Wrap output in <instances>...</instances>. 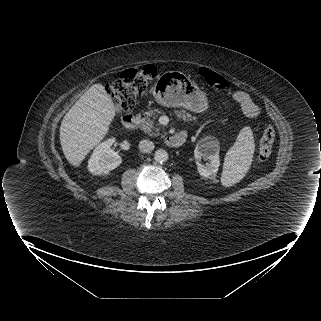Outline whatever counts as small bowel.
I'll list each match as a JSON object with an SVG mask.
<instances>
[{
    "label": "small bowel",
    "instance_id": "1",
    "mask_svg": "<svg viewBox=\"0 0 321 321\" xmlns=\"http://www.w3.org/2000/svg\"><path fill=\"white\" fill-rule=\"evenodd\" d=\"M231 99L247 116L257 119L263 117L261 109L257 106L248 93L240 90L234 91L231 94Z\"/></svg>",
    "mask_w": 321,
    "mask_h": 321
}]
</instances>
